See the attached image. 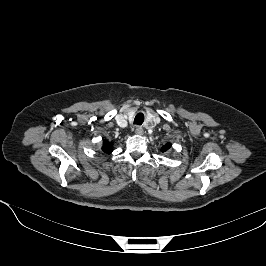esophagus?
I'll return each instance as SVG.
<instances>
[{"instance_id": "1", "label": "esophagus", "mask_w": 266, "mask_h": 266, "mask_svg": "<svg viewBox=\"0 0 266 266\" xmlns=\"http://www.w3.org/2000/svg\"><path fill=\"white\" fill-rule=\"evenodd\" d=\"M135 134H137V135H142V134H143V129H142V127L137 126V127L135 128Z\"/></svg>"}]
</instances>
